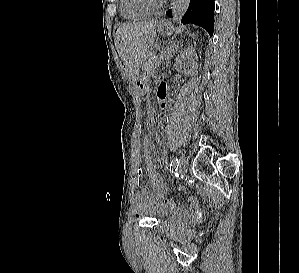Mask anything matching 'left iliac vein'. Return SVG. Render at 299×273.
<instances>
[{"label": "left iliac vein", "mask_w": 299, "mask_h": 273, "mask_svg": "<svg viewBox=\"0 0 299 273\" xmlns=\"http://www.w3.org/2000/svg\"><path fill=\"white\" fill-rule=\"evenodd\" d=\"M188 168V162L184 157L179 158L178 173L179 175H184Z\"/></svg>", "instance_id": "4c4485c4"}]
</instances>
